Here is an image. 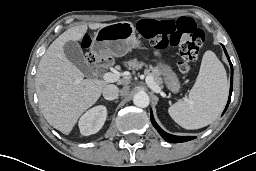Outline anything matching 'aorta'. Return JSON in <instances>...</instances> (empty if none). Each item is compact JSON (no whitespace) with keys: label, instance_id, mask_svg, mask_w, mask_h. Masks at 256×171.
<instances>
[{"label":"aorta","instance_id":"aorta-1","mask_svg":"<svg viewBox=\"0 0 256 171\" xmlns=\"http://www.w3.org/2000/svg\"><path fill=\"white\" fill-rule=\"evenodd\" d=\"M133 103L140 108H146L150 103V98L145 92H138L134 95Z\"/></svg>","mask_w":256,"mask_h":171}]
</instances>
